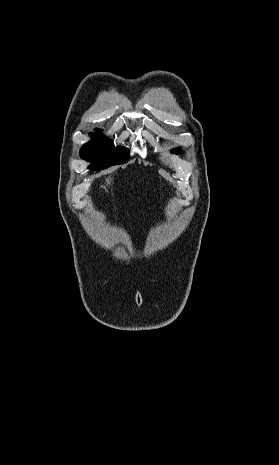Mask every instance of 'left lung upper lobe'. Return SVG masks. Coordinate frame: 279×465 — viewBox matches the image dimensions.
Here are the masks:
<instances>
[{
  "instance_id": "1",
  "label": "left lung upper lobe",
  "mask_w": 279,
  "mask_h": 465,
  "mask_svg": "<svg viewBox=\"0 0 279 465\" xmlns=\"http://www.w3.org/2000/svg\"><path fill=\"white\" fill-rule=\"evenodd\" d=\"M172 152H174V153H176V154H177V153H179V152H180V149H174Z\"/></svg>"
}]
</instances>
